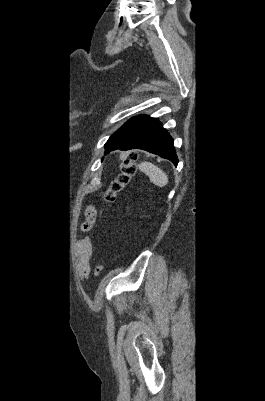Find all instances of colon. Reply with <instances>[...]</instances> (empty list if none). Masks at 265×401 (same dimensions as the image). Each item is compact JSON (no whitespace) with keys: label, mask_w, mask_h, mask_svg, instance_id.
<instances>
[{"label":"colon","mask_w":265,"mask_h":401,"mask_svg":"<svg viewBox=\"0 0 265 401\" xmlns=\"http://www.w3.org/2000/svg\"><path fill=\"white\" fill-rule=\"evenodd\" d=\"M137 172V154L129 153L121 162L120 171L116 178L112 181L110 187L103 194V200L106 204L111 205L115 202L117 195L127 187ZM102 272V266H95V274Z\"/></svg>","instance_id":"obj_1"}]
</instances>
